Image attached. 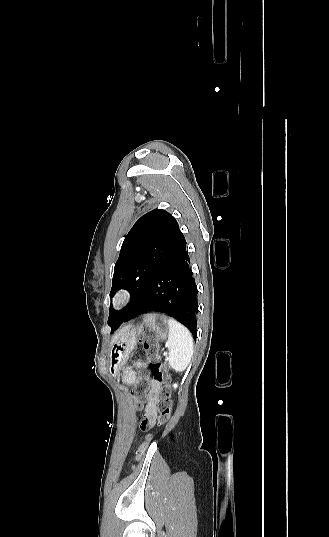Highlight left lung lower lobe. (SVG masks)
Returning <instances> with one entry per match:
<instances>
[{
    "instance_id": "1",
    "label": "left lung lower lobe",
    "mask_w": 329,
    "mask_h": 537,
    "mask_svg": "<svg viewBox=\"0 0 329 537\" xmlns=\"http://www.w3.org/2000/svg\"><path fill=\"white\" fill-rule=\"evenodd\" d=\"M189 263L184 244L159 269L124 321L147 312H162L176 318L196 338L198 289Z\"/></svg>"
}]
</instances>
